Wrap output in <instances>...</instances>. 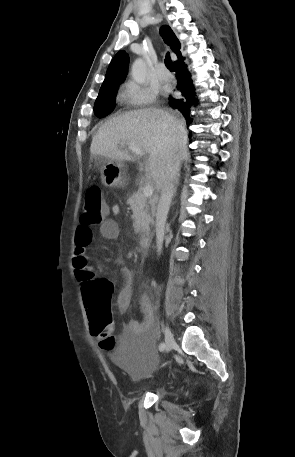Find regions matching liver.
Returning a JSON list of instances; mask_svg holds the SVG:
<instances>
[{
    "instance_id": "obj_1",
    "label": "liver",
    "mask_w": 295,
    "mask_h": 457,
    "mask_svg": "<svg viewBox=\"0 0 295 457\" xmlns=\"http://www.w3.org/2000/svg\"><path fill=\"white\" fill-rule=\"evenodd\" d=\"M122 143H131L148 154L145 171L157 191L161 188L168 161L178 156L182 162L188 156L184 122L163 109L134 110L110 119L93 137L90 152L106 159L134 160L119 148Z\"/></svg>"
}]
</instances>
